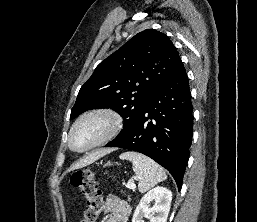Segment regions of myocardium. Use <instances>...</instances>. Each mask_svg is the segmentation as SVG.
<instances>
[{
  "label": "myocardium",
  "mask_w": 257,
  "mask_h": 222,
  "mask_svg": "<svg viewBox=\"0 0 257 222\" xmlns=\"http://www.w3.org/2000/svg\"><path fill=\"white\" fill-rule=\"evenodd\" d=\"M91 117H103L107 121L108 128H107L106 132L104 133V135L97 142H95L94 144H92L91 146H89L83 150H77L72 145L73 132H74L75 128L82 121H84L88 118H91ZM122 127H123V117L116 109H114L112 107H108V106L95 107V108L87 110L86 112L81 114L74 121V123L72 124V126L69 130L67 143H68L69 148L73 152L85 153V152L93 150V149L107 143L108 141L112 140L113 138H115L122 130Z\"/></svg>",
  "instance_id": "myocardium-1"
}]
</instances>
